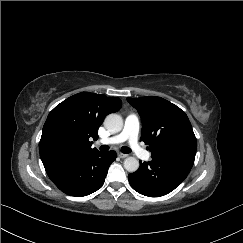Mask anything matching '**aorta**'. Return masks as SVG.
I'll use <instances>...</instances> for the list:
<instances>
[{
  "mask_svg": "<svg viewBox=\"0 0 243 243\" xmlns=\"http://www.w3.org/2000/svg\"><path fill=\"white\" fill-rule=\"evenodd\" d=\"M104 127L111 133L120 132L123 128V119L116 113L109 114L104 120ZM124 168L132 173L138 170L139 161L134 157H128L124 160Z\"/></svg>",
  "mask_w": 243,
  "mask_h": 243,
  "instance_id": "762f6f07",
  "label": "aorta"
}]
</instances>
